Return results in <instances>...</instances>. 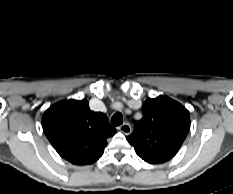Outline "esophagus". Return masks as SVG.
<instances>
[{
    "mask_svg": "<svg viewBox=\"0 0 233 194\" xmlns=\"http://www.w3.org/2000/svg\"><path fill=\"white\" fill-rule=\"evenodd\" d=\"M118 129L126 135H130L132 132V127L129 123H123L118 127Z\"/></svg>",
    "mask_w": 233,
    "mask_h": 194,
    "instance_id": "1",
    "label": "esophagus"
}]
</instances>
